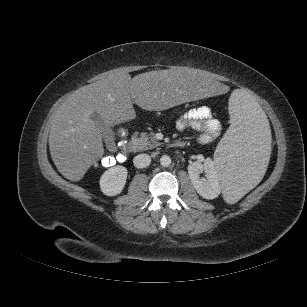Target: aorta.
Instances as JSON below:
<instances>
[{
	"instance_id": "aorta-1",
	"label": "aorta",
	"mask_w": 307,
	"mask_h": 307,
	"mask_svg": "<svg viewBox=\"0 0 307 307\" xmlns=\"http://www.w3.org/2000/svg\"><path fill=\"white\" fill-rule=\"evenodd\" d=\"M160 164L164 167H168L171 164V158L168 155H163L160 158Z\"/></svg>"
}]
</instances>
